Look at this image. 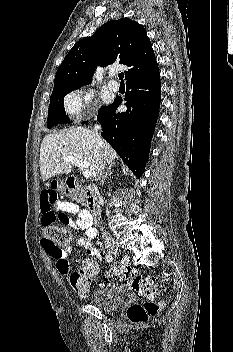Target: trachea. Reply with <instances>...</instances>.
<instances>
[{
  "mask_svg": "<svg viewBox=\"0 0 233 352\" xmlns=\"http://www.w3.org/2000/svg\"><path fill=\"white\" fill-rule=\"evenodd\" d=\"M118 77H119V79L121 80V82H123L124 73H120V74L118 75Z\"/></svg>",
  "mask_w": 233,
  "mask_h": 352,
  "instance_id": "obj_1",
  "label": "trachea"
}]
</instances>
